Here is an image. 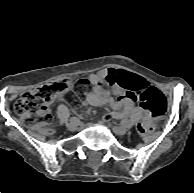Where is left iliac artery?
<instances>
[{
    "instance_id": "44dca946",
    "label": "left iliac artery",
    "mask_w": 194,
    "mask_h": 193,
    "mask_svg": "<svg viewBox=\"0 0 194 193\" xmlns=\"http://www.w3.org/2000/svg\"><path fill=\"white\" fill-rule=\"evenodd\" d=\"M127 122H128V119H124V120L122 121V124L125 125V124H127Z\"/></svg>"
}]
</instances>
